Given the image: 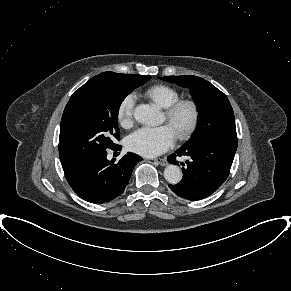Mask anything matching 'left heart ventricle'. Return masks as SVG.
<instances>
[{
  "label": "left heart ventricle",
  "instance_id": "1",
  "mask_svg": "<svg viewBox=\"0 0 291 291\" xmlns=\"http://www.w3.org/2000/svg\"><path fill=\"white\" fill-rule=\"evenodd\" d=\"M188 120H189V112L185 110L179 115V117L174 123L168 124V125L171 127V129L174 131L176 135L181 129H183L187 125ZM164 121H166L165 116H164Z\"/></svg>",
  "mask_w": 291,
  "mask_h": 291
}]
</instances>
